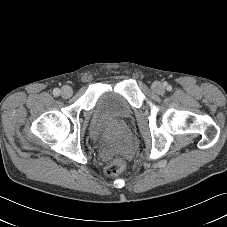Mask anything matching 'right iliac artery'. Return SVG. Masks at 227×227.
Wrapping results in <instances>:
<instances>
[{
  "label": "right iliac artery",
  "instance_id": "82829eb1",
  "mask_svg": "<svg viewBox=\"0 0 227 227\" xmlns=\"http://www.w3.org/2000/svg\"><path fill=\"white\" fill-rule=\"evenodd\" d=\"M59 94H60V89H59V88H55V89L53 90V95H54V96H59Z\"/></svg>",
  "mask_w": 227,
  "mask_h": 227
}]
</instances>
